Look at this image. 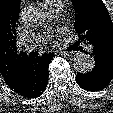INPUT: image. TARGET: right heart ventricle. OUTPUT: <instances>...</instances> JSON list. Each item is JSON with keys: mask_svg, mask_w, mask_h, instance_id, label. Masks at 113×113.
<instances>
[{"mask_svg": "<svg viewBox=\"0 0 113 113\" xmlns=\"http://www.w3.org/2000/svg\"><path fill=\"white\" fill-rule=\"evenodd\" d=\"M56 1H60V0H43L42 2L45 6H49Z\"/></svg>", "mask_w": 113, "mask_h": 113, "instance_id": "1", "label": "right heart ventricle"}]
</instances>
